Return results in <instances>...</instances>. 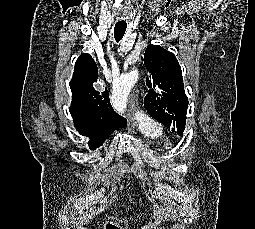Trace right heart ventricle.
I'll use <instances>...</instances> for the list:
<instances>
[{
	"label": "right heart ventricle",
	"instance_id": "e07e8e85",
	"mask_svg": "<svg viewBox=\"0 0 255 229\" xmlns=\"http://www.w3.org/2000/svg\"><path fill=\"white\" fill-rule=\"evenodd\" d=\"M140 132L150 140L156 139L160 134V129L158 124L153 120L150 121V126L142 125L138 122Z\"/></svg>",
	"mask_w": 255,
	"mask_h": 229
}]
</instances>
